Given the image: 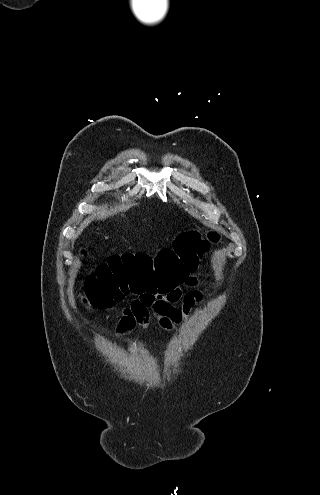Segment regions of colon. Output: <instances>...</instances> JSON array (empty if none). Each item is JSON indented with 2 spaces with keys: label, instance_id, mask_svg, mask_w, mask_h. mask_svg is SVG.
<instances>
[{
  "label": "colon",
  "instance_id": "obj_1",
  "mask_svg": "<svg viewBox=\"0 0 320 495\" xmlns=\"http://www.w3.org/2000/svg\"><path fill=\"white\" fill-rule=\"evenodd\" d=\"M219 234L206 237L197 230L180 233L169 248L156 257L142 253L114 255L100 264L85 283L86 301L97 309H107L129 292H166L179 284L185 273L194 270Z\"/></svg>",
  "mask_w": 320,
  "mask_h": 495
}]
</instances>
